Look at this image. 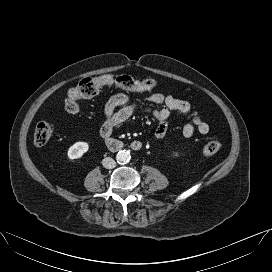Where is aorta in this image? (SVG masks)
<instances>
[{"label": "aorta", "instance_id": "762f6f07", "mask_svg": "<svg viewBox=\"0 0 272 272\" xmlns=\"http://www.w3.org/2000/svg\"><path fill=\"white\" fill-rule=\"evenodd\" d=\"M130 158H131V155L128 150H121L116 155V160L120 164L129 162Z\"/></svg>", "mask_w": 272, "mask_h": 272}]
</instances>
